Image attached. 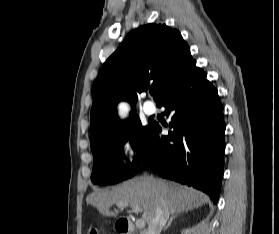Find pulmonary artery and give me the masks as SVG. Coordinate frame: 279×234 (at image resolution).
I'll return each mask as SVG.
<instances>
[{"label":"pulmonary artery","mask_w":279,"mask_h":234,"mask_svg":"<svg viewBox=\"0 0 279 234\" xmlns=\"http://www.w3.org/2000/svg\"><path fill=\"white\" fill-rule=\"evenodd\" d=\"M143 110L147 115H152L156 112V107L151 101H146L143 105Z\"/></svg>","instance_id":"1"}]
</instances>
